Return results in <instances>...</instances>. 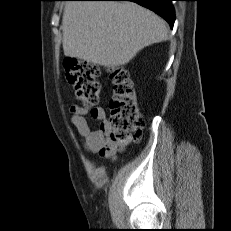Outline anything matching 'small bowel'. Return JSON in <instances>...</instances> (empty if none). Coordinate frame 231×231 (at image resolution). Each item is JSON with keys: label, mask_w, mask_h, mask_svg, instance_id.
I'll list each match as a JSON object with an SVG mask.
<instances>
[{"label": "small bowel", "mask_w": 231, "mask_h": 231, "mask_svg": "<svg viewBox=\"0 0 231 231\" xmlns=\"http://www.w3.org/2000/svg\"><path fill=\"white\" fill-rule=\"evenodd\" d=\"M70 110L72 113L71 122L76 128L84 148L90 153L114 160L115 145L108 138L110 122L107 120L104 110L102 108L89 110L78 105L72 106ZM88 116L99 121L97 129H91Z\"/></svg>", "instance_id": "c3829d8e"}]
</instances>
